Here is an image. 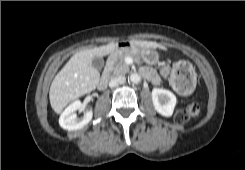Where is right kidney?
Instances as JSON below:
<instances>
[{
	"mask_svg": "<svg viewBox=\"0 0 245 170\" xmlns=\"http://www.w3.org/2000/svg\"><path fill=\"white\" fill-rule=\"evenodd\" d=\"M82 106L80 100L72 102L60 115L59 124L60 126L69 131L78 130L87 125L93 116L92 109L84 113L82 118H78L76 111Z\"/></svg>",
	"mask_w": 245,
	"mask_h": 170,
	"instance_id": "obj_1",
	"label": "right kidney"
}]
</instances>
